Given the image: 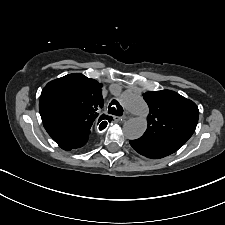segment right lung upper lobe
<instances>
[{"label":"right lung upper lobe","instance_id":"right-lung-upper-lobe-1","mask_svg":"<svg viewBox=\"0 0 225 225\" xmlns=\"http://www.w3.org/2000/svg\"><path fill=\"white\" fill-rule=\"evenodd\" d=\"M102 84L73 73L50 81L42 90L39 111L43 120L78 122L90 127L101 121L97 110L103 107ZM98 124V123H97Z\"/></svg>","mask_w":225,"mask_h":225}]
</instances>
